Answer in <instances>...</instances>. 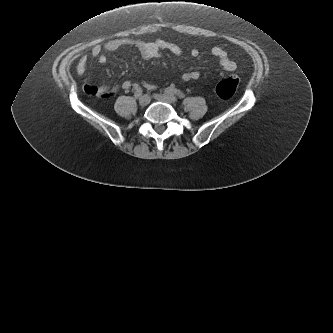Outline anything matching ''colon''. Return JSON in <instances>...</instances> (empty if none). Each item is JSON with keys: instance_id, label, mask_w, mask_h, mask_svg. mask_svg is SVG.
I'll list each match as a JSON object with an SVG mask.
<instances>
[{"instance_id": "5ec220e1", "label": "colon", "mask_w": 333, "mask_h": 333, "mask_svg": "<svg viewBox=\"0 0 333 333\" xmlns=\"http://www.w3.org/2000/svg\"><path fill=\"white\" fill-rule=\"evenodd\" d=\"M239 86V78L231 76L219 81L216 85V94L222 99L231 98L237 91Z\"/></svg>"}]
</instances>
